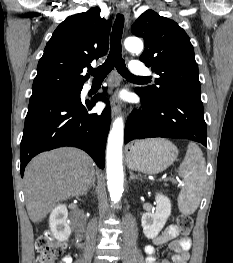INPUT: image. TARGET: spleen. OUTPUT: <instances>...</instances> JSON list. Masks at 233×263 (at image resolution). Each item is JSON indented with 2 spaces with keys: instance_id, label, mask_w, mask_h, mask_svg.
Returning a JSON list of instances; mask_svg holds the SVG:
<instances>
[{
  "instance_id": "obj_1",
  "label": "spleen",
  "mask_w": 233,
  "mask_h": 263,
  "mask_svg": "<svg viewBox=\"0 0 233 263\" xmlns=\"http://www.w3.org/2000/svg\"><path fill=\"white\" fill-rule=\"evenodd\" d=\"M178 173L184 182V188L178 196V208L183 214L189 215L200 204L206 180V162L197 144L189 143Z\"/></svg>"
}]
</instances>
